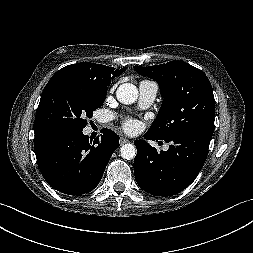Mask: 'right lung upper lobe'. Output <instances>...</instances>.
<instances>
[{"label": "right lung upper lobe", "mask_w": 253, "mask_h": 253, "mask_svg": "<svg viewBox=\"0 0 253 253\" xmlns=\"http://www.w3.org/2000/svg\"><path fill=\"white\" fill-rule=\"evenodd\" d=\"M125 70L126 67L120 70H115V68L107 67L101 64L82 62L68 65L57 71L55 74L78 76L92 81L97 85L107 87L111 83V79L120 75Z\"/></svg>", "instance_id": "cb5924a9"}]
</instances>
